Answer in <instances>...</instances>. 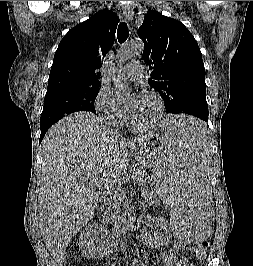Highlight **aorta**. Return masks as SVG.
<instances>
[{
	"label": "aorta",
	"instance_id": "obj_1",
	"mask_svg": "<svg viewBox=\"0 0 253 266\" xmlns=\"http://www.w3.org/2000/svg\"><path fill=\"white\" fill-rule=\"evenodd\" d=\"M144 50V45L141 41H131L123 45L117 53V57L121 61L130 59L133 56L142 54ZM114 89L116 93L120 95H126L128 93V87L120 82L114 83ZM125 222V221H124Z\"/></svg>",
	"mask_w": 253,
	"mask_h": 266
}]
</instances>
